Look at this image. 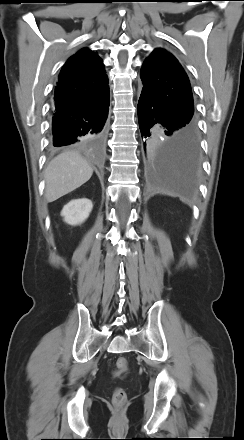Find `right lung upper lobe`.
Instances as JSON below:
<instances>
[{
	"mask_svg": "<svg viewBox=\"0 0 244 440\" xmlns=\"http://www.w3.org/2000/svg\"><path fill=\"white\" fill-rule=\"evenodd\" d=\"M109 93L101 58L88 48L71 56L63 66L54 93V109L82 107Z\"/></svg>",
	"mask_w": 244,
	"mask_h": 440,
	"instance_id": "cb5924a9",
	"label": "right lung upper lobe"
}]
</instances>
